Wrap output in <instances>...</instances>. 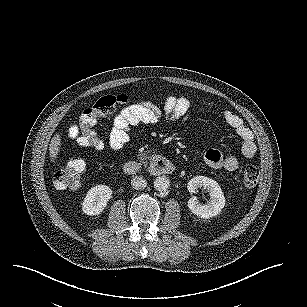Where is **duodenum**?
<instances>
[{"mask_svg": "<svg viewBox=\"0 0 307 307\" xmlns=\"http://www.w3.org/2000/svg\"><path fill=\"white\" fill-rule=\"evenodd\" d=\"M142 166L137 161H127L123 165V171L130 176L138 175ZM175 170L172 162L164 157H153L148 164L147 171L152 176L171 174Z\"/></svg>", "mask_w": 307, "mask_h": 307, "instance_id": "obj_1", "label": "duodenum"}]
</instances>
